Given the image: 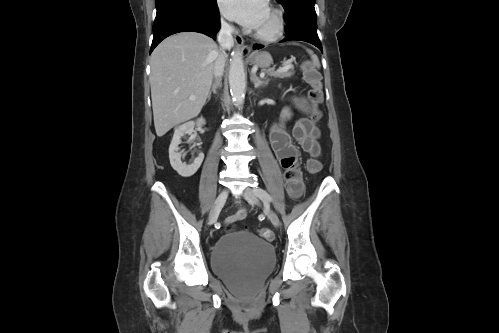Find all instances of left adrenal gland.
I'll return each mask as SVG.
<instances>
[{"label": "left adrenal gland", "mask_w": 499, "mask_h": 333, "mask_svg": "<svg viewBox=\"0 0 499 333\" xmlns=\"http://www.w3.org/2000/svg\"><path fill=\"white\" fill-rule=\"evenodd\" d=\"M250 80L252 81V83L254 84V87L255 88H258V87H262V86H266L268 84V81H262L260 79H258L255 75L251 74L250 76Z\"/></svg>", "instance_id": "a2214340"}]
</instances>
